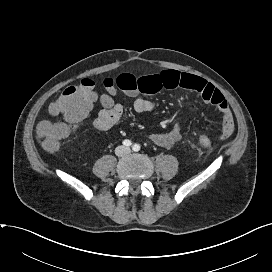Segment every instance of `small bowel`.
<instances>
[{
  "mask_svg": "<svg viewBox=\"0 0 272 272\" xmlns=\"http://www.w3.org/2000/svg\"><path fill=\"white\" fill-rule=\"evenodd\" d=\"M115 84L116 88L135 98L133 106L138 113H148L154 109V104L145 98L138 97L139 94H155L163 89L185 88L221 112L222 123L219 133L221 140L229 138L233 133V116L225 97L214 85L200 77L175 70H165L138 77L131 73H122L115 78ZM193 109L194 103L191 102L188 105V110ZM123 113V106L119 103L104 106L94 118L93 126L97 130L106 131L121 120ZM182 135V123H177L170 131L152 133L149 138L160 147L170 148L182 139Z\"/></svg>",
  "mask_w": 272,
  "mask_h": 272,
  "instance_id": "1",
  "label": "small bowel"
}]
</instances>
